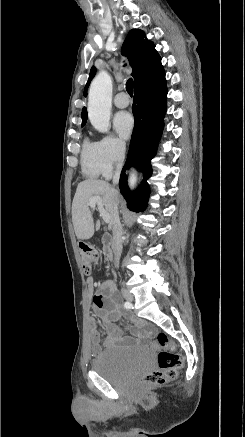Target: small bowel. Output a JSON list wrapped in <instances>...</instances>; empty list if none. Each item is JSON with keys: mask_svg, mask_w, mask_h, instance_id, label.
<instances>
[{"mask_svg": "<svg viewBox=\"0 0 245 437\" xmlns=\"http://www.w3.org/2000/svg\"><path fill=\"white\" fill-rule=\"evenodd\" d=\"M87 285L92 289L95 285L93 278L87 279ZM115 287L112 282H104L100 285L99 292L93 297V317L90 319V341L91 350L94 355H100L102 351L114 349L121 345H128L133 342V339L123 334L122 329L116 324L121 318L122 313L117 307V302L114 297ZM95 318H99L104 326L107 337L101 343L100 334L96 328ZM135 335L139 337H146L151 334L147 325L137 323L132 328Z\"/></svg>", "mask_w": 245, "mask_h": 437, "instance_id": "small-bowel-1", "label": "small bowel"}]
</instances>
